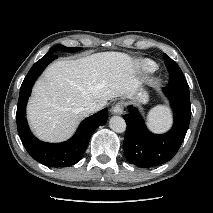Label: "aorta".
I'll use <instances>...</instances> for the list:
<instances>
[{
  "mask_svg": "<svg viewBox=\"0 0 213 213\" xmlns=\"http://www.w3.org/2000/svg\"><path fill=\"white\" fill-rule=\"evenodd\" d=\"M110 128L117 133H123L126 130V122L120 116H113L110 119Z\"/></svg>",
  "mask_w": 213,
  "mask_h": 213,
  "instance_id": "1",
  "label": "aorta"
}]
</instances>
